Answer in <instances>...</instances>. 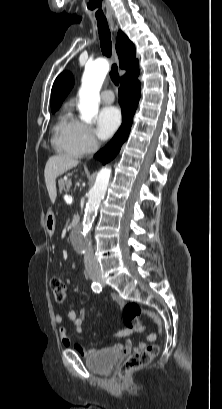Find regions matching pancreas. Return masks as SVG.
<instances>
[{"mask_svg":"<svg viewBox=\"0 0 222 409\" xmlns=\"http://www.w3.org/2000/svg\"><path fill=\"white\" fill-rule=\"evenodd\" d=\"M70 186H71V180L69 179V180H65V179H61L60 181H59V188H60V191H69V188H70Z\"/></svg>","mask_w":222,"mask_h":409,"instance_id":"obj_1","label":"pancreas"}]
</instances>
